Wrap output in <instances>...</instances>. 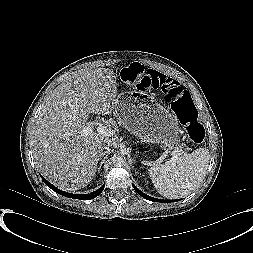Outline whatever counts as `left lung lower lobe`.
Segmentation results:
<instances>
[{
    "instance_id": "0a47b994",
    "label": "left lung lower lobe",
    "mask_w": 253,
    "mask_h": 253,
    "mask_svg": "<svg viewBox=\"0 0 253 253\" xmlns=\"http://www.w3.org/2000/svg\"><path fill=\"white\" fill-rule=\"evenodd\" d=\"M135 191L141 195L142 197H144L145 199L147 200H150V201H155V202H174L175 200H160V199H156V198H153V197H150L146 194H144L142 191H140L138 188H136L135 186H133Z\"/></svg>"
}]
</instances>
